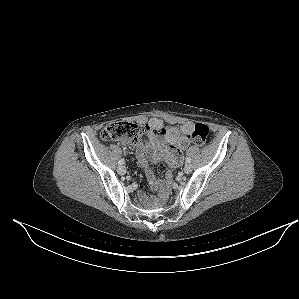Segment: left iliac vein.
Listing matches in <instances>:
<instances>
[{"mask_svg": "<svg viewBox=\"0 0 299 299\" xmlns=\"http://www.w3.org/2000/svg\"><path fill=\"white\" fill-rule=\"evenodd\" d=\"M192 168L193 167L190 163H186L185 166H184V172L188 174L192 171Z\"/></svg>", "mask_w": 299, "mask_h": 299, "instance_id": "1", "label": "left iliac vein"}]
</instances>
